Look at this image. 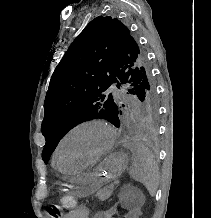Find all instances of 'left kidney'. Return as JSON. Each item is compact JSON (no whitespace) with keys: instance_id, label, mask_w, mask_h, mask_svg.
I'll return each instance as SVG.
<instances>
[{"instance_id":"5707ae66","label":"left kidney","mask_w":211,"mask_h":218,"mask_svg":"<svg viewBox=\"0 0 211 218\" xmlns=\"http://www.w3.org/2000/svg\"><path fill=\"white\" fill-rule=\"evenodd\" d=\"M121 207H125V213H118L120 207H110L107 210L108 218H140L136 207H132V198H121Z\"/></svg>"}]
</instances>
